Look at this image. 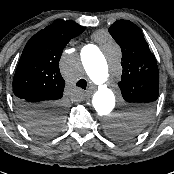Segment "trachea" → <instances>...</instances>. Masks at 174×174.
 <instances>
[{
  "label": "trachea",
  "instance_id": "3493384b",
  "mask_svg": "<svg viewBox=\"0 0 174 174\" xmlns=\"http://www.w3.org/2000/svg\"><path fill=\"white\" fill-rule=\"evenodd\" d=\"M76 86L82 88V89H86L87 87V82L85 79H80L77 83Z\"/></svg>",
  "mask_w": 174,
  "mask_h": 174
}]
</instances>
